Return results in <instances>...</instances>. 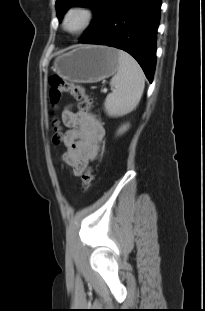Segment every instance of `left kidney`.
<instances>
[{"instance_id": "left-kidney-1", "label": "left kidney", "mask_w": 205, "mask_h": 311, "mask_svg": "<svg viewBox=\"0 0 205 311\" xmlns=\"http://www.w3.org/2000/svg\"><path fill=\"white\" fill-rule=\"evenodd\" d=\"M125 130H127V126H123V127L120 129V132H124Z\"/></svg>"}]
</instances>
